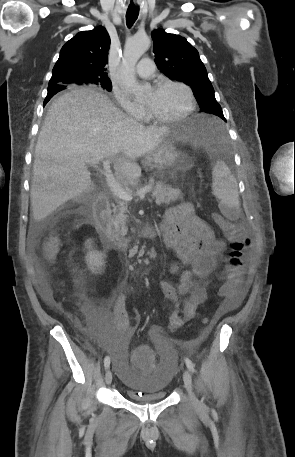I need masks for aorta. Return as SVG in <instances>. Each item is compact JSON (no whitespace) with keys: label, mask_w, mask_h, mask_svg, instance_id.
Segmentation results:
<instances>
[{"label":"aorta","mask_w":295,"mask_h":457,"mask_svg":"<svg viewBox=\"0 0 295 457\" xmlns=\"http://www.w3.org/2000/svg\"><path fill=\"white\" fill-rule=\"evenodd\" d=\"M149 46L150 39L147 35H135L125 43L121 64L122 85L128 93L136 97L144 93V88L135 78V65Z\"/></svg>","instance_id":"1"}]
</instances>
